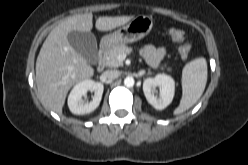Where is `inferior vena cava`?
Masks as SVG:
<instances>
[{
	"instance_id": "1",
	"label": "inferior vena cava",
	"mask_w": 248,
	"mask_h": 165,
	"mask_svg": "<svg viewBox=\"0 0 248 165\" xmlns=\"http://www.w3.org/2000/svg\"><path fill=\"white\" fill-rule=\"evenodd\" d=\"M103 77L106 79H115L117 77H119L120 75V71L118 70H106L105 72H103Z\"/></svg>"
}]
</instances>
